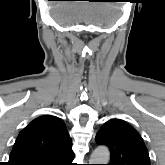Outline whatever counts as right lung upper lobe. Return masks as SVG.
I'll use <instances>...</instances> for the list:
<instances>
[{"instance_id": "right-lung-upper-lobe-1", "label": "right lung upper lobe", "mask_w": 165, "mask_h": 165, "mask_svg": "<svg viewBox=\"0 0 165 165\" xmlns=\"http://www.w3.org/2000/svg\"><path fill=\"white\" fill-rule=\"evenodd\" d=\"M71 144L63 120L50 115L41 116L19 133L8 165H46Z\"/></svg>"}]
</instances>
